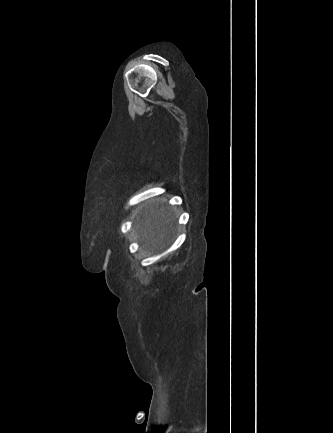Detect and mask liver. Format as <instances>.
<instances>
[{"label": "liver", "instance_id": "6515ba94", "mask_svg": "<svg viewBox=\"0 0 333 433\" xmlns=\"http://www.w3.org/2000/svg\"><path fill=\"white\" fill-rule=\"evenodd\" d=\"M144 249L156 252L167 246L175 229L174 211L159 201L145 203L135 222Z\"/></svg>", "mask_w": 333, "mask_h": 433}]
</instances>
